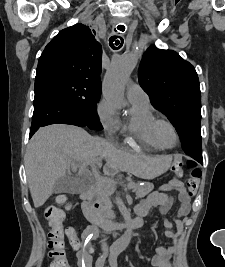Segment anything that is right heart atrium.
I'll use <instances>...</instances> for the list:
<instances>
[{"mask_svg":"<svg viewBox=\"0 0 225 267\" xmlns=\"http://www.w3.org/2000/svg\"><path fill=\"white\" fill-rule=\"evenodd\" d=\"M98 118L103 128L110 134L115 133L120 126V119L115 105L108 99L103 98L97 107Z\"/></svg>","mask_w":225,"mask_h":267,"instance_id":"obj_1","label":"right heart atrium"}]
</instances>
